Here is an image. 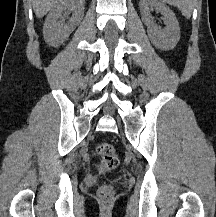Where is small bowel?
Wrapping results in <instances>:
<instances>
[{
    "mask_svg": "<svg viewBox=\"0 0 216 217\" xmlns=\"http://www.w3.org/2000/svg\"><path fill=\"white\" fill-rule=\"evenodd\" d=\"M96 167H97L99 170H104V168H103L102 165H96Z\"/></svg>",
    "mask_w": 216,
    "mask_h": 217,
    "instance_id": "c3829d8e",
    "label": "small bowel"
}]
</instances>
